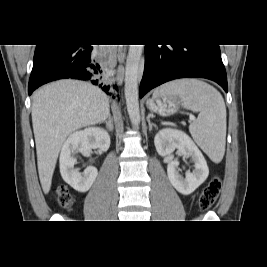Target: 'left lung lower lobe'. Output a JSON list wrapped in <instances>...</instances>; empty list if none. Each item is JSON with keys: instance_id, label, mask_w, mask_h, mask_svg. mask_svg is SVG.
Masks as SVG:
<instances>
[{"instance_id": "1", "label": "left lung lower lobe", "mask_w": 267, "mask_h": 267, "mask_svg": "<svg viewBox=\"0 0 267 267\" xmlns=\"http://www.w3.org/2000/svg\"><path fill=\"white\" fill-rule=\"evenodd\" d=\"M187 77L213 80L227 92L226 70L219 45H145L140 98L167 81Z\"/></svg>"}]
</instances>
